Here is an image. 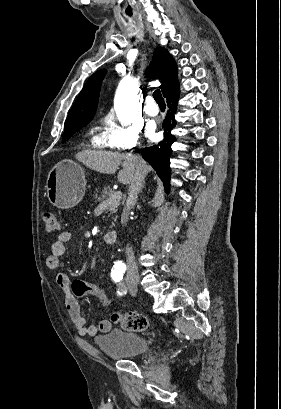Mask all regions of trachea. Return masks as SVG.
<instances>
[{
  "mask_svg": "<svg viewBox=\"0 0 281 409\" xmlns=\"http://www.w3.org/2000/svg\"><path fill=\"white\" fill-rule=\"evenodd\" d=\"M153 98L157 103L164 102V99L162 97L161 91L159 89L155 90L153 93Z\"/></svg>",
  "mask_w": 281,
  "mask_h": 409,
  "instance_id": "3493384b",
  "label": "trachea"
}]
</instances>
